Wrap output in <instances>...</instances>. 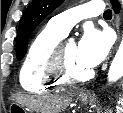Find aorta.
I'll use <instances>...</instances> for the list:
<instances>
[{"instance_id": "obj_1", "label": "aorta", "mask_w": 123, "mask_h": 113, "mask_svg": "<svg viewBox=\"0 0 123 113\" xmlns=\"http://www.w3.org/2000/svg\"><path fill=\"white\" fill-rule=\"evenodd\" d=\"M123 76V38L108 71V81L115 82Z\"/></svg>"}]
</instances>
